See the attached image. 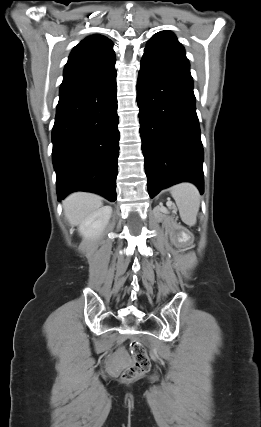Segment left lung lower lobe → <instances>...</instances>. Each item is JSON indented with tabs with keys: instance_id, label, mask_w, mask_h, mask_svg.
I'll use <instances>...</instances> for the list:
<instances>
[{
	"instance_id": "left-lung-lower-lobe-1",
	"label": "left lung lower lobe",
	"mask_w": 261,
	"mask_h": 427,
	"mask_svg": "<svg viewBox=\"0 0 261 427\" xmlns=\"http://www.w3.org/2000/svg\"><path fill=\"white\" fill-rule=\"evenodd\" d=\"M137 103L149 196L183 181L203 194V147L189 64L145 51Z\"/></svg>"
}]
</instances>
